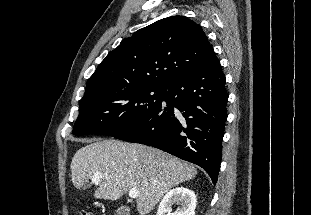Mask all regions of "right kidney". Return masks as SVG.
I'll use <instances>...</instances> for the list:
<instances>
[{
	"instance_id": "right-kidney-1",
	"label": "right kidney",
	"mask_w": 311,
	"mask_h": 215,
	"mask_svg": "<svg viewBox=\"0 0 311 215\" xmlns=\"http://www.w3.org/2000/svg\"><path fill=\"white\" fill-rule=\"evenodd\" d=\"M180 207L172 213V205ZM196 196L195 193L185 187H177L170 190L161 200L157 215H195Z\"/></svg>"
}]
</instances>
